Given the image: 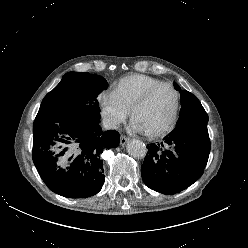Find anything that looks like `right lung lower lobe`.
<instances>
[{
	"label": "right lung lower lobe",
	"instance_id": "98d812e1",
	"mask_svg": "<svg viewBox=\"0 0 248 248\" xmlns=\"http://www.w3.org/2000/svg\"><path fill=\"white\" fill-rule=\"evenodd\" d=\"M33 162L47 187L64 197L86 198L97 194L104 184V169L100 155L119 145V133L103 132L99 121L78 119L60 123L38 122L33 125ZM74 142L77 153L67 171L57 169L58 156L51 147Z\"/></svg>",
	"mask_w": 248,
	"mask_h": 248
}]
</instances>
